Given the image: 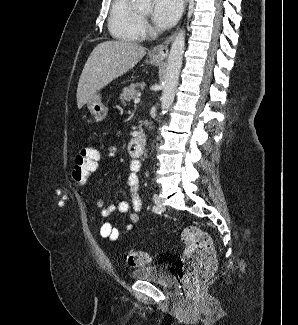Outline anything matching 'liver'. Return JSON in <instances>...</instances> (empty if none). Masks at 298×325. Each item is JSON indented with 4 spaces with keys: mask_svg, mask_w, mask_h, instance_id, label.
Wrapping results in <instances>:
<instances>
[{
    "mask_svg": "<svg viewBox=\"0 0 298 325\" xmlns=\"http://www.w3.org/2000/svg\"><path fill=\"white\" fill-rule=\"evenodd\" d=\"M146 50L148 48L138 42L125 40H104L94 46L79 76L76 90L78 108H83L95 92L136 66Z\"/></svg>",
    "mask_w": 298,
    "mask_h": 325,
    "instance_id": "6515ba94",
    "label": "liver"
}]
</instances>
